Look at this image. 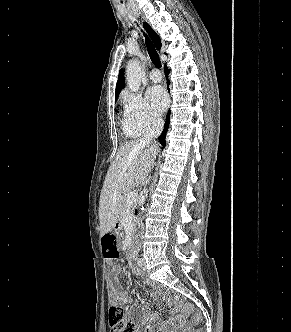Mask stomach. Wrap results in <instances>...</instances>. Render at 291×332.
Returning <instances> with one entry per match:
<instances>
[{
  "label": "stomach",
  "mask_w": 291,
  "mask_h": 332,
  "mask_svg": "<svg viewBox=\"0 0 291 332\" xmlns=\"http://www.w3.org/2000/svg\"><path fill=\"white\" fill-rule=\"evenodd\" d=\"M117 226H118V224H117V225H115V226H114V228H116Z\"/></svg>",
  "instance_id": "1"
}]
</instances>
